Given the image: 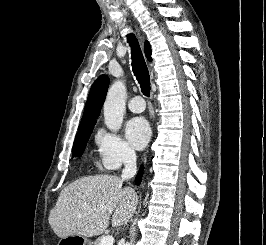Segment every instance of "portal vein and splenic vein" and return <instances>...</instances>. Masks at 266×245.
Wrapping results in <instances>:
<instances>
[{
    "instance_id": "portal-vein-and-splenic-vein-1",
    "label": "portal vein and splenic vein",
    "mask_w": 266,
    "mask_h": 245,
    "mask_svg": "<svg viewBox=\"0 0 266 245\" xmlns=\"http://www.w3.org/2000/svg\"><path fill=\"white\" fill-rule=\"evenodd\" d=\"M101 209H104L103 205H100ZM99 245H114V237L108 235V237H101Z\"/></svg>"
}]
</instances>
